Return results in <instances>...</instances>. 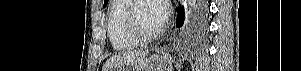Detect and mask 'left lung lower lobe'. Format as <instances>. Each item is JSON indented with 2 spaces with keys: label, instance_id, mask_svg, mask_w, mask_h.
<instances>
[{
  "label": "left lung lower lobe",
  "instance_id": "1",
  "mask_svg": "<svg viewBox=\"0 0 301 71\" xmlns=\"http://www.w3.org/2000/svg\"><path fill=\"white\" fill-rule=\"evenodd\" d=\"M177 27H181L184 21L183 8L178 7ZM208 2L206 0H191L189 4L188 31L191 34L190 41L202 43L207 36Z\"/></svg>",
  "mask_w": 301,
  "mask_h": 71
}]
</instances>
